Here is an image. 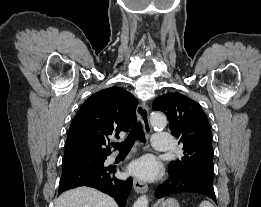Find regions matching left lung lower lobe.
<instances>
[{
  "instance_id": "0a47b994",
  "label": "left lung lower lobe",
  "mask_w": 261,
  "mask_h": 207,
  "mask_svg": "<svg viewBox=\"0 0 261 207\" xmlns=\"http://www.w3.org/2000/svg\"><path fill=\"white\" fill-rule=\"evenodd\" d=\"M176 193H198L217 203L213 182L209 179L186 173L169 172L168 181L157 188L156 197L162 198Z\"/></svg>"
}]
</instances>
